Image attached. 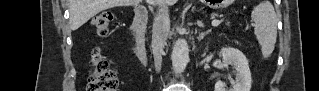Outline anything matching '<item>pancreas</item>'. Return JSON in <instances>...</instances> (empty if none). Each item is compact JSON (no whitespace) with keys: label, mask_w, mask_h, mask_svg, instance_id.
Listing matches in <instances>:
<instances>
[{"label":"pancreas","mask_w":319,"mask_h":91,"mask_svg":"<svg viewBox=\"0 0 319 91\" xmlns=\"http://www.w3.org/2000/svg\"><path fill=\"white\" fill-rule=\"evenodd\" d=\"M212 16L215 17V16H217V14H213Z\"/></svg>","instance_id":"obj_1"}]
</instances>
